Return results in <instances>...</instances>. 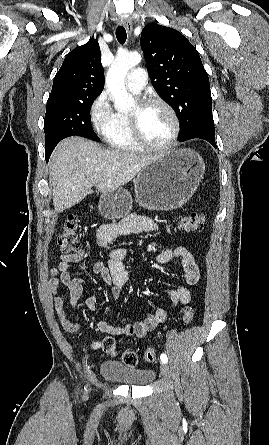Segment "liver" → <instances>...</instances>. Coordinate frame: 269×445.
<instances>
[{"mask_svg":"<svg viewBox=\"0 0 269 445\" xmlns=\"http://www.w3.org/2000/svg\"><path fill=\"white\" fill-rule=\"evenodd\" d=\"M157 156L103 149L96 142L78 137L63 140L50 160L56 212L81 202L93 192V186L103 194L127 184Z\"/></svg>","mask_w":269,"mask_h":445,"instance_id":"6515ba94","label":"liver"}]
</instances>
